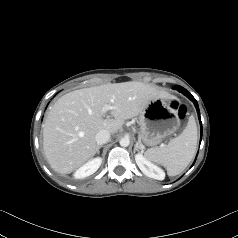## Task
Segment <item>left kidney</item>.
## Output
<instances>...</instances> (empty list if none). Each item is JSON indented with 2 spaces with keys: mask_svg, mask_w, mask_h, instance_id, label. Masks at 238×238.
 I'll return each instance as SVG.
<instances>
[{
  "mask_svg": "<svg viewBox=\"0 0 238 238\" xmlns=\"http://www.w3.org/2000/svg\"><path fill=\"white\" fill-rule=\"evenodd\" d=\"M135 161L140 168V170L148 177L163 180L165 177L164 171L152 164L149 160H147L142 154L135 155Z\"/></svg>",
  "mask_w": 238,
  "mask_h": 238,
  "instance_id": "5707ae66",
  "label": "left kidney"
}]
</instances>
